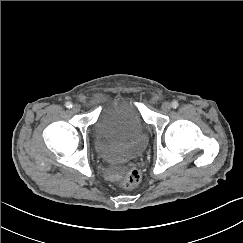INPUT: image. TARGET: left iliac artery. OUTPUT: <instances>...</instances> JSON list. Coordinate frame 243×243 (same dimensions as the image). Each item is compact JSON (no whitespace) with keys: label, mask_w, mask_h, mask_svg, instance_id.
<instances>
[{"label":"left iliac artery","mask_w":243,"mask_h":243,"mask_svg":"<svg viewBox=\"0 0 243 243\" xmlns=\"http://www.w3.org/2000/svg\"><path fill=\"white\" fill-rule=\"evenodd\" d=\"M178 102L177 101H173L172 103H171V106L173 107V108H177L178 107Z\"/></svg>","instance_id":"44dca946"}]
</instances>
